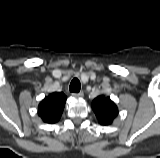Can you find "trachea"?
Segmentation results:
<instances>
[{"label":"trachea","instance_id":"3493384b","mask_svg":"<svg viewBox=\"0 0 160 158\" xmlns=\"http://www.w3.org/2000/svg\"><path fill=\"white\" fill-rule=\"evenodd\" d=\"M81 89V84L78 78H74L69 86L70 92L78 93Z\"/></svg>","mask_w":160,"mask_h":158}]
</instances>
